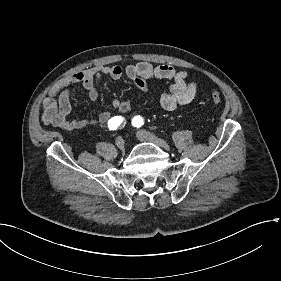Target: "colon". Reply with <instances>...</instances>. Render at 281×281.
<instances>
[{
  "mask_svg": "<svg viewBox=\"0 0 281 281\" xmlns=\"http://www.w3.org/2000/svg\"><path fill=\"white\" fill-rule=\"evenodd\" d=\"M211 101H212L214 104H220V103H222L223 98H222L221 94H219V93H213V94L211 95Z\"/></svg>",
  "mask_w": 281,
  "mask_h": 281,
  "instance_id": "colon-1",
  "label": "colon"
}]
</instances>
